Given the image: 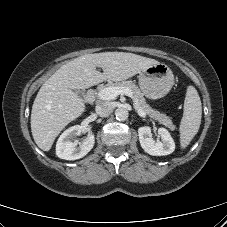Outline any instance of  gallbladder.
I'll return each instance as SVG.
<instances>
[{
  "mask_svg": "<svg viewBox=\"0 0 227 227\" xmlns=\"http://www.w3.org/2000/svg\"><path fill=\"white\" fill-rule=\"evenodd\" d=\"M76 93H77V95L79 96V97H82L83 96V93L81 92V91H76Z\"/></svg>",
  "mask_w": 227,
  "mask_h": 227,
  "instance_id": "bac80fb5",
  "label": "gallbladder"
}]
</instances>
